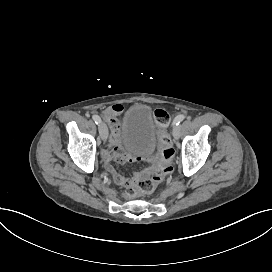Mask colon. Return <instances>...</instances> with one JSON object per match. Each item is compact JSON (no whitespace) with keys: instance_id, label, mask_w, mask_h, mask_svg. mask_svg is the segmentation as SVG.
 <instances>
[{"instance_id":"obj_1","label":"colon","mask_w":272,"mask_h":272,"mask_svg":"<svg viewBox=\"0 0 272 272\" xmlns=\"http://www.w3.org/2000/svg\"><path fill=\"white\" fill-rule=\"evenodd\" d=\"M174 113V110H164L159 109L154 113V120L156 124L161 128H166L169 123L171 114ZM157 145L159 149L163 150L161 154L160 163L156 164L151 173H142L130 181H126L123 178L118 179V182L127 183L126 193L128 195L137 196L139 193L143 196H150L155 191V185L157 180L163 181L167 174L172 173L173 166L170 164L171 157L174 154L173 145L174 140L168 132L163 131L160 133L157 140Z\"/></svg>"}]
</instances>
